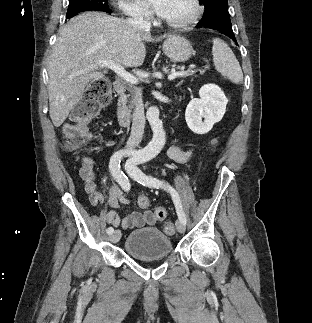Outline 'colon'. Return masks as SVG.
Instances as JSON below:
<instances>
[{
    "mask_svg": "<svg viewBox=\"0 0 312 323\" xmlns=\"http://www.w3.org/2000/svg\"><path fill=\"white\" fill-rule=\"evenodd\" d=\"M110 81L106 77H98L93 79L87 89L83 92L80 105L72 112V119L65 126V148L69 151H79L89 141L91 133L88 124L98 113L99 109L108 105L111 101ZM216 141V140H215ZM84 168L90 167L89 161L83 162ZM150 205L148 197H140L138 206L147 209ZM158 218L164 220L166 218L165 206H156ZM163 231L172 235L175 233V226L170 221L163 223Z\"/></svg>",
    "mask_w": 312,
    "mask_h": 323,
    "instance_id": "colon-1",
    "label": "colon"
}]
</instances>
